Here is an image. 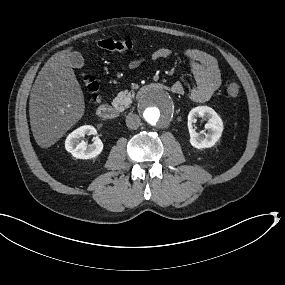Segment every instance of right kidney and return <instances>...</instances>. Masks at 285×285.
Masks as SVG:
<instances>
[{"mask_svg":"<svg viewBox=\"0 0 285 285\" xmlns=\"http://www.w3.org/2000/svg\"><path fill=\"white\" fill-rule=\"evenodd\" d=\"M96 134V130L92 126H82L69 134L65 141L66 150L76 159L90 160L98 157L104 149L103 142L94 138V143L88 145L85 142L80 143L82 137L86 135Z\"/></svg>","mask_w":285,"mask_h":285,"instance_id":"ca27d5eb","label":"right kidney"}]
</instances>
